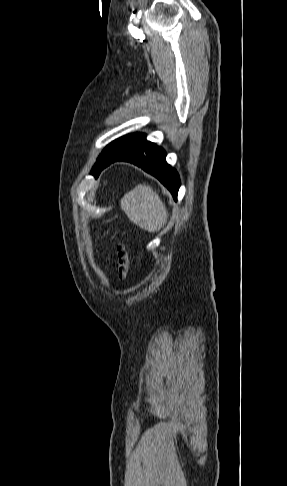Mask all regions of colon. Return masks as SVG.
Masks as SVG:
<instances>
[{"label":"colon","instance_id":"colon-1","mask_svg":"<svg viewBox=\"0 0 287 486\" xmlns=\"http://www.w3.org/2000/svg\"><path fill=\"white\" fill-rule=\"evenodd\" d=\"M117 250V271L120 277H125L130 268L131 258L123 245H119Z\"/></svg>","mask_w":287,"mask_h":486}]
</instances>
